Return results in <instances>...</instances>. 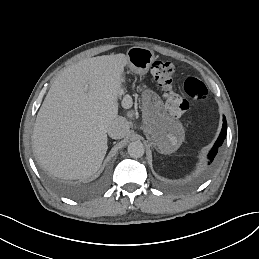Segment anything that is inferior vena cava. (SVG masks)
I'll return each mask as SVG.
<instances>
[{"instance_id":"obj_1","label":"inferior vena cava","mask_w":259,"mask_h":259,"mask_svg":"<svg viewBox=\"0 0 259 259\" xmlns=\"http://www.w3.org/2000/svg\"><path fill=\"white\" fill-rule=\"evenodd\" d=\"M129 131V123L125 117L118 116L109 123L107 132L113 139H120L126 136Z\"/></svg>"}]
</instances>
